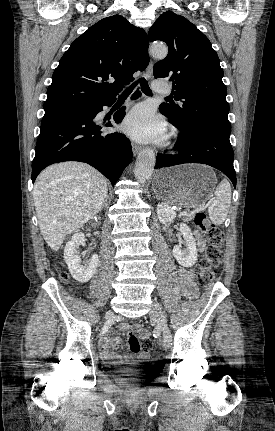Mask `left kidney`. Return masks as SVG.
<instances>
[{"instance_id": "5707ae66", "label": "left kidney", "mask_w": 275, "mask_h": 431, "mask_svg": "<svg viewBox=\"0 0 275 431\" xmlns=\"http://www.w3.org/2000/svg\"><path fill=\"white\" fill-rule=\"evenodd\" d=\"M157 216L161 223L171 222L175 217V211L166 203H159L157 206ZM180 231L183 234L186 249L182 250L181 245L174 246L172 253L177 262L184 267H191L197 260L196 242L191 229L185 224H180Z\"/></svg>"}]
</instances>
